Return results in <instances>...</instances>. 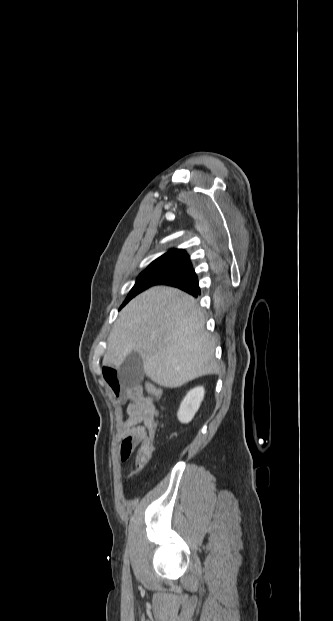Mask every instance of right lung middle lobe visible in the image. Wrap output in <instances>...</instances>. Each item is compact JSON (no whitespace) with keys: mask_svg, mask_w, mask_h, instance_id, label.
<instances>
[{"mask_svg":"<svg viewBox=\"0 0 333 621\" xmlns=\"http://www.w3.org/2000/svg\"><path fill=\"white\" fill-rule=\"evenodd\" d=\"M187 259L167 258L153 261L137 278L134 287L131 289L123 307L130 299L144 291L145 289L156 285L158 281L179 269Z\"/></svg>","mask_w":333,"mask_h":621,"instance_id":"right-lung-middle-lobe-1","label":"right lung middle lobe"}]
</instances>
